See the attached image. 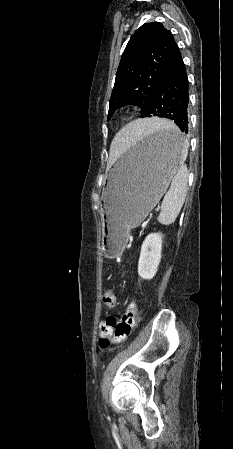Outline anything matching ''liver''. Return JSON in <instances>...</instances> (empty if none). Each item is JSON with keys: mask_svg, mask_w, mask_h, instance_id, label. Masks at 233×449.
<instances>
[{"mask_svg": "<svg viewBox=\"0 0 233 449\" xmlns=\"http://www.w3.org/2000/svg\"><path fill=\"white\" fill-rule=\"evenodd\" d=\"M158 125L169 126L171 122L158 118L141 119L128 124L119 133H113L110 149L111 158L116 160L124 147L133 142L136 136L146 135Z\"/></svg>", "mask_w": 233, "mask_h": 449, "instance_id": "obj_1", "label": "liver"}]
</instances>
